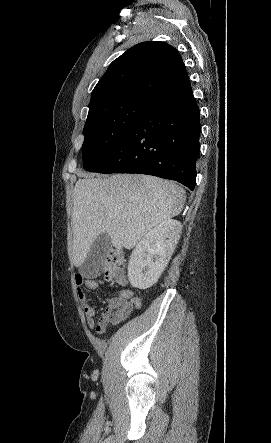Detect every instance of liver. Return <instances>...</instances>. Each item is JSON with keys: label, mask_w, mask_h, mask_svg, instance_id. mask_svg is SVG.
I'll list each match as a JSON object with an SVG mask.
<instances>
[{"label": "liver", "mask_w": 271, "mask_h": 443, "mask_svg": "<svg viewBox=\"0 0 271 443\" xmlns=\"http://www.w3.org/2000/svg\"><path fill=\"white\" fill-rule=\"evenodd\" d=\"M73 196V263L85 261L101 233L117 249L134 247L154 225L182 212L185 190L176 182L143 174H78ZM97 176V178H95Z\"/></svg>", "instance_id": "liver-1"}]
</instances>
